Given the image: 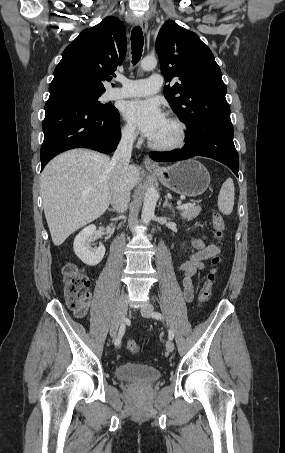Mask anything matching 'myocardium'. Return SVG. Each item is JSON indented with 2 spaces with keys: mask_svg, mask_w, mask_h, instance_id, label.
<instances>
[{
  "mask_svg": "<svg viewBox=\"0 0 285 453\" xmlns=\"http://www.w3.org/2000/svg\"><path fill=\"white\" fill-rule=\"evenodd\" d=\"M167 119L169 121H171L173 124H175V126L177 127L178 136L175 141H173L171 143H166V144H159V143H156V142L150 140L149 146L154 150L175 151V150L183 148L187 143L188 129H187V125L185 124V122L174 114L168 115Z\"/></svg>",
  "mask_w": 285,
  "mask_h": 453,
  "instance_id": "obj_1",
  "label": "myocardium"
}]
</instances>
